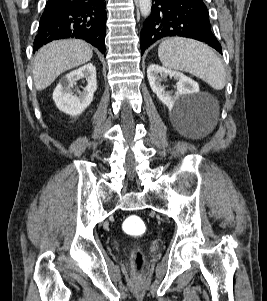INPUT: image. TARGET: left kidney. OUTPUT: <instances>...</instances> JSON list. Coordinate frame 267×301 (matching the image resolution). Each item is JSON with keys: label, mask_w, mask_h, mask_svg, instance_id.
Segmentation results:
<instances>
[{"label": "left kidney", "mask_w": 267, "mask_h": 301, "mask_svg": "<svg viewBox=\"0 0 267 301\" xmlns=\"http://www.w3.org/2000/svg\"><path fill=\"white\" fill-rule=\"evenodd\" d=\"M168 76L177 80L174 94L165 91V87L161 84ZM147 77L152 91L168 108H173L180 97L196 93L199 90V85L183 73L172 71L157 64H151L147 68Z\"/></svg>", "instance_id": "left-kidney-1"}]
</instances>
